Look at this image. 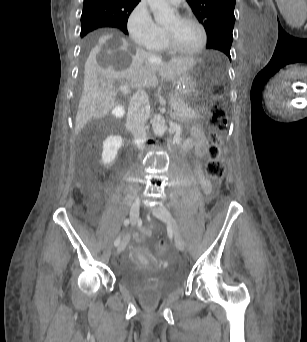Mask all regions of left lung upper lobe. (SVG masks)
Segmentation results:
<instances>
[{"instance_id": "5c2ea615", "label": "left lung upper lobe", "mask_w": 307, "mask_h": 342, "mask_svg": "<svg viewBox=\"0 0 307 342\" xmlns=\"http://www.w3.org/2000/svg\"><path fill=\"white\" fill-rule=\"evenodd\" d=\"M207 33V48L224 52L229 59L233 41L236 0H187Z\"/></svg>"}]
</instances>
